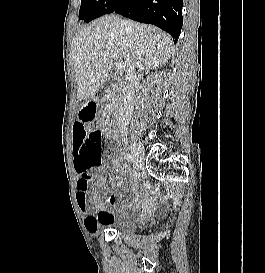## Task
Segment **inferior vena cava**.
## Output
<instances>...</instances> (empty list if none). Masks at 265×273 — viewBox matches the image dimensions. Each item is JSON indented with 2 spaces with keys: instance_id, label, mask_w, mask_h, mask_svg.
<instances>
[{
  "instance_id": "inferior-vena-cava-1",
  "label": "inferior vena cava",
  "mask_w": 265,
  "mask_h": 273,
  "mask_svg": "<svg viewBox=\"0 0 265 273\" xmlns=\"http://www.w3.org/2000/svg\"><path fill=\"white\" fill-rule=\"evenodd\" d=\"M122 28L126 29L128 27V22L121 20ZM136 66L135 62L131 64L126 71L127 82L123 85L121 91V99L118 108V119L117 124L121 133L127 132V126L130 122L131 115L133 112V100H134V89L133 80L136 78Z\"/></svg>"
}]
</instances>
